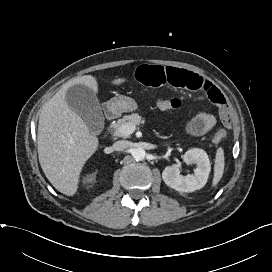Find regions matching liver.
<instances>
[{
    "label": "liver",
    "mask_w": 272,
    "mask_h": 272,
    "mask_svg": "<svg viewBox=\"0 0 272 272\" xmlns=\"http://www.w3.org/2000/svg\"><path fill=\"white\" fill-rule=\"evenodd\" d=\"M126 79L112 81L114 85ZM83 84L98 92L95 77L85 75L65 84L42 108L38 126V157L41 168L55 189L73 196L86 161L95 153L99 140L90 133L83 119L69 108L66 91Z\"/></svg>",
    "instance_id": "obj_1"
}]
</instances>
